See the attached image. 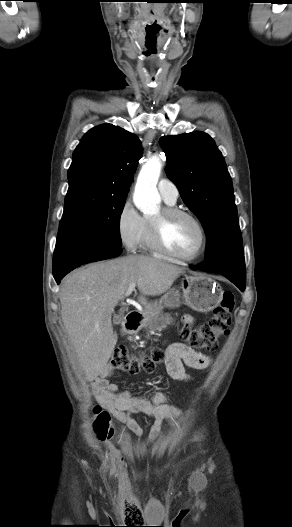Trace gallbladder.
Instances as JSON below:
<instances>
[{
  "label": "gallbladder",
  "mask_w": 292,
  "mask_h": 527,
  "mask_svg": "<svg viewBox=\"0 0 292 527\" xmlns=\"http://www.w3.org/2000/svg\"><path fill=\"white\" fill-rule=\"evenodd\" d=\"M121 321H122V318L120 316H114V318H113L114 325L120 324Z\"/></svg>",
  "instance_id": "bac80fb5"
}]
</instances>
